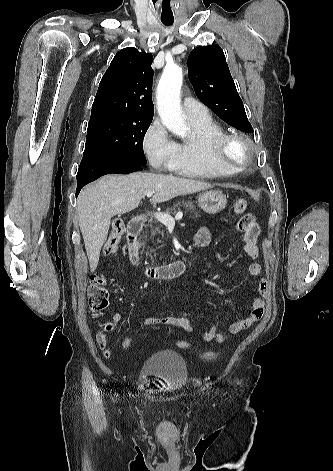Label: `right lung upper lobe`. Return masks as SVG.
<instances>
[{
    "instance_id": "right-lung-upper-lobe-1",
    "label": "right lung upper lobe",
    "mask_w": 333,
    "mask_h": 471,
    "mask_svg": "<svg viewBox=\"0 0 333 471\" xmlns=\"http://www.w3.org/2000/svg\"><path fill=\"white\" fill-rule=\"evenodd\" d=\"M153 57L128 47L117 52L101 79L91 117L103 114H129L153 117Z\"/></svg>"
}]
</instances>
